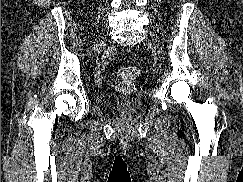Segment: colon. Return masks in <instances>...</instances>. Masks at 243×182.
Here are the masks:
<instances>
[{"instance_id": "5ec220e1", "label": "colon", "mask_w": 243, "mask_h": 182, "mask_svg": "<svg viewBox=\"0 0 243 182\" xmlns=\"http://www.w3.org/2000/svg\"><path fill=\"white\" fill-rule=\"evenodd\" d=\"M120 77L126 81L136 79L140 75V69L136 66L123 67L118 71Z\"/></svg>"}]
</instances>
